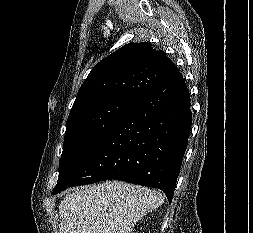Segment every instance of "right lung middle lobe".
<instances>
[{
	"instance_id": "obj_1",
	"label": "right lung middle lobe",
	"mask_w": 253,
	"mask_h": 233,
	"mask_svg": "<svg viewBox=\"0 0 253 233\" xmlns=\"http://www.w3.org/2000/svg\"><path fill=\"white\" fill-rule=\"evenodd\" d=\"M134 101L131 98L111 97L70 112L59 162L58 182L114 128Z\"/></svg>"
}]
</instances>
